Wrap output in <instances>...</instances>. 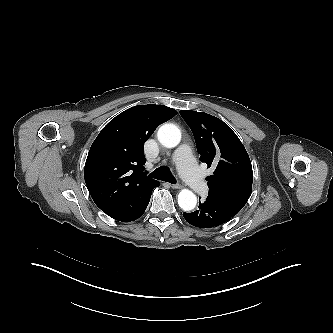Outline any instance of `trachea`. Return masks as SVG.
<instances>
[{
  "mask_svg": "<svg viewBox=\"0 0 333 333\" xmlns=\"http://www.w3.org/2000/svg\"><path fill=\"white\" fill-rule=\"evenodd\" d=\"M149 176L158 180L176 184L175 177L171 174V172L166 166L158 167L152 173H150Z\"/></svg>",
  "mask_w": 333,
  "mask_h": 333,
  "instance_id": "obj_1",
  "label": "trachea"
}]
</instances>
